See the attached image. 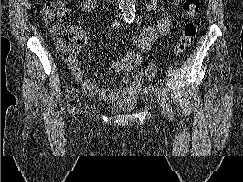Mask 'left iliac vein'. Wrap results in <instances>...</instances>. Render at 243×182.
I'll return each mask as SVG.
<instances>
[{
	"label": "left iliac vein",
	"mask_w": 243,
	"mask_h": 182,
	"mask_svg": "<svg viewBox=\"0 0 243 182\" xmlns=\"http://www.w3.org/2000/svg\"><path fill=\"white\" fill-rule=\"evenodd\" d=\"M160 104H161V107H162V112H163L164 116H166L167 110H166V107H165L166 106V102H165L164 97L160 98Z\"/></svg>",
	"instance_id": "4c4485c4"
}]
</instances>
